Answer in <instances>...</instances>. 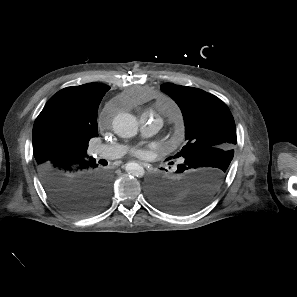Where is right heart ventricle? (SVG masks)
I'll return each mask as SVG.
<instances>
[{"label":"right heart ventricle","mask_w":297,"mask_h":297,"mask_svg":"<svg viewBox=\"0 0 297 297\" xmlns=\"http://www.w3.org/2000/svg\"><path fill=\"white\" fill-rule=\"evenodd\" d=\"M170 104L169 101H163L161 103L158 104V108L162 111V112H166L168 109V105Z\"/></svg>","instance_id":"right-heart-ventricle-1"}]
</instances>
